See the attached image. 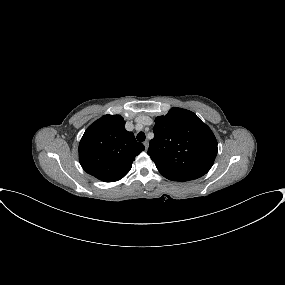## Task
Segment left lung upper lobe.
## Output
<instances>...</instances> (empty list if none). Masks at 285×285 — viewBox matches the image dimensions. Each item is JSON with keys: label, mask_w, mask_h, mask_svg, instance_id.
<instances>
[{"label": "left lung upper lobe", "mask_w": 285, "mask_h": 285, "mask_svg": "<svg viewBox=\"0 0 285 285\" xmlns=\"http://www.w3.org/2000/svg\"><path fill=\"white\" fill-rule=\"evenodd\" d=\"M155 137L147 154L159 172L172 181H189L206 174L217 155V141L193 112L172 108L155 119Z\"/></svg>", "instance_id": "obj_1"}]
</instances>
